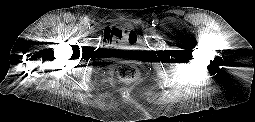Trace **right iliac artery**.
<instances>
[{
  "mask_svg": "<svg viewBox=\"0 0 255 122\" xmlns=\"http://www.w3.org/2000/svg\"><path fill=\"white\" fill-rule=\"evenodd\" d=\"M85 27L88 29V28H90V24L88 23V24H85Z\"/></svg>",
  "mask_w": 255,
  "mask_h": 122,
  "instance_id": "right-iliac-artery-1",
  "label": "right iliac artery"
}]
</instances>
